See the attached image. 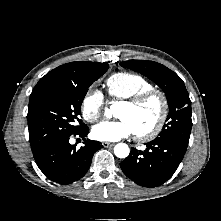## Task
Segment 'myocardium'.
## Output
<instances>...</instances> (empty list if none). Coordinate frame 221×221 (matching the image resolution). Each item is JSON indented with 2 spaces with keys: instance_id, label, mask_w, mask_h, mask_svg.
Instances as JSON below:
<instances>
[{
  "instance_id": "obj_1",
  "label": "myocardium",
  "mask_w": 221,
  "mask_h": 221,
  "mask_svg": "<svg viewBox=\"0 0 221 221\" xmlns=\"http://www.w3.org/2000/svg\"><path fill=\"white\" fill-rule=\"evenodd\" d=\"M151 99H157L160 103V114L154 126L144 132H135V137L138 141L146 142L154 139L162 131L169 112V102L166 94L152 88L142 92L132 98L121 100V105H126L131 108H139Z\"/></svg>"
}]
</instances>
